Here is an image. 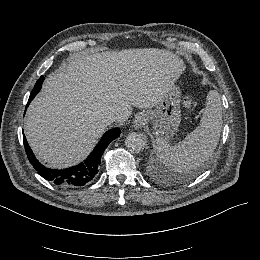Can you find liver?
<instances>
[{
	"mask_svg": "<svg viewBox=\"0 0 260 260\" xmlns=\"http://www.w3.org/2000/svg\"><path fill=\"white\" fill-rule=\"evenodd\" d=\"M185 72L166 50L134 49L78 55L46 78L25 119L27 140L52 167L72 165L106 129L104 116L127 119L132 107L156 108Z\"/></svg>",
	"mask_w": 260,
	"mask_h": 260,
	"instance_id": "liver-1",
	"label": "liver"
}]
</instances>
